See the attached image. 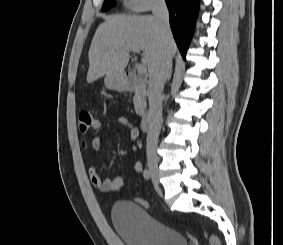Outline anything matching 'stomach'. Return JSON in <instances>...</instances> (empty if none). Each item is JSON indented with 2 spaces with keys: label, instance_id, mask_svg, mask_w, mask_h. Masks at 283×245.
<instances>
[{
  "label": "stomach",
  "instance_id": "obj_1",
  "mask_svg": "<svg viewBox=\"0 0 283 245\" xmlns=\"http://www.w3.org/2000/svg\"><path fill=\"white\" fill-rule=\"evenodd\" d=\"M105 85L109 89H122L125 86V79L122 74H107Z\"/></svg>",
  "mask_w": 283,
  "mask_h": 245
}]
</instances>
